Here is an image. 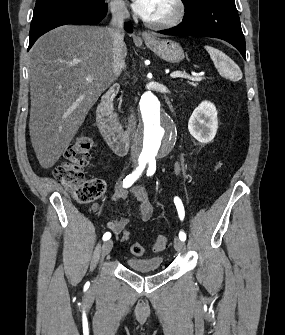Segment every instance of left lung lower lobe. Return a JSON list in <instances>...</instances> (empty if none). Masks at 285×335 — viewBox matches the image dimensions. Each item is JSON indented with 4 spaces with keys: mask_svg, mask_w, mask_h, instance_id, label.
Returning a JSON list of instances; mask_svg holds the SVG:
<instances>
[{
    "mask_svg": "<svg viewBox=\"0 0 285 335\" xmlns=\"http://www.w3.org/2000/svg\"><path fill=\"white\" fill-rule=\"evenodd\" d=\"M185 12L182 23L160 33L219 38L232 44L246 59L245 39L234 0H201Z\"/></svg>",
    "mask_w": 285,
    "mask_h": 335,
    "instance_id": "0a47b994",
    "label": "left lung lower lobe"
}]
</instances>
